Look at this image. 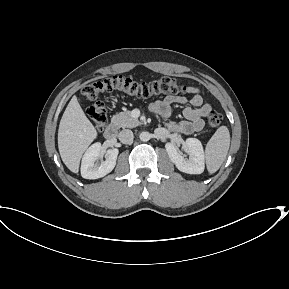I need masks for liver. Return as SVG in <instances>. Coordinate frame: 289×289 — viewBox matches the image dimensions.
I'll list each match as a JSON object with an SVG mask.
<instances>
[{
  "mask_svg": "<svg viewBox=\"0 0 289 289\" xmlns=\"http://www.w3.org/2000/svg\"><path fill=\"white\" fill-rule=\"evenodd\" d=\"M97 137V131L73 96L61 118L58 148L62 161L73 173H78L83 153Z\"/></svg>",
  "mask_w": 289,
  "mask_h": 289,
  "instance_id": "liver-1",
  "label": "liver"
}]
</instances>
